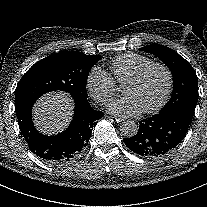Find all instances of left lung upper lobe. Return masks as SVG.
Instances as JSON below:
<instances>
[{
    "label": "left lung upper lobe",
    "instance_id": "1",
    "mask_svg": "<svg viewBox=\"0 0 207 207\" xmlns=\"http://www.w3.org/2000/svg\"><path fill=\"white\" fill-rule=\"evenodd\" d=\"M140 50L157 56L167 65L173 75L172 96L160 112L179 109L193 116L198 100V78L191 64L164 45L151 44Z\"/></svg>",
    "mask_w": 207,
    "mask_h": 207
}]
</instances>
